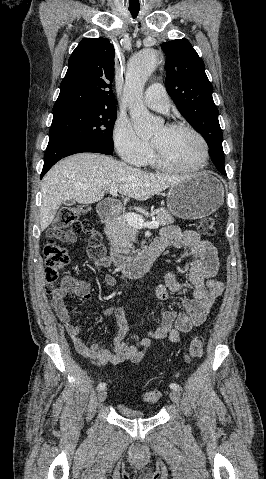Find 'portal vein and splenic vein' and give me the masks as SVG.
<instances>
[{"instance_id":"obj_1","label":"portal vein and splenic vein","mask_w":266,"mask_h":479,"mask_svg":"<svg viewBox=\"0 0 266 479\" xmlns=\"http://www.w3.org/2000/svg\"><path fill=\"white\" fill-rule=\"evenodd\" d=\"M118 192V187H111L110 188V193L112 195H116ZM126 221L133 226L134 228L141 229L143 227L149 228V229H156L159 227L160 223L158 221H152V222H147L145 223L143 218L140 215H137L135 213H128L125 215Z\"/></svg>"}]
</instances>
